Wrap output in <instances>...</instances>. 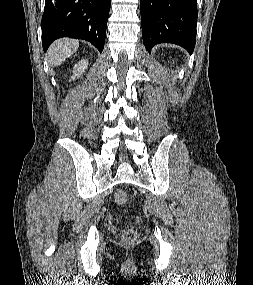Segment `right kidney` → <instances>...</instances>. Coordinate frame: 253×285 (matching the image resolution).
Here are the masks:
<instances>
[{"label": "right kidney", "mask_w": 253, "mask_h": 285, "mask_svg": "<svg viewBox=\"0 0 253 285\" xmlns=\"http://www.w3.org/2000/svg\"><path fill=\"white\" fill-rule=\"evenodd\" d=\"M88 67V61L87 60H81L79 61L73 68L74 75L72 76V79L74 80L76 77H80L82 73L87 69Z\"/></svg>", "instance_id": "ca27d5eb"}]
</instances>
